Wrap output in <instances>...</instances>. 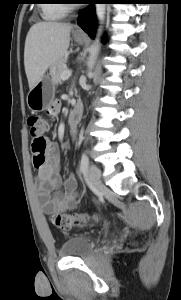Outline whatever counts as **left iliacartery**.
I'll return each mask as SVG.
<instances>
[{"instance_id":"1","label":"left iliac artery","mask_w":181,"mask_h":300,"mask_svg":"<svg viewBox=\"0 0 181 300\" xmlns=\"http://www.w3.org/2000/svg\"><path fill=\"white\" fill-rule=\"evenodd\" d=\"M88 164H89V159L88 156L83 153L82 157H81V164H80V172L81 173H85L87 168H88Z\"/></svg>"}]
</instances>
